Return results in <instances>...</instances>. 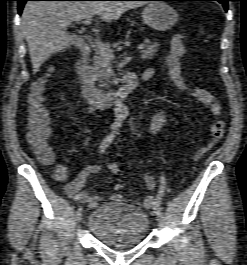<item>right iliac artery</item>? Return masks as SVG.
Returning a JSON list of instances; mask_svg holds the SVG:
<instances>
[{"instance_id": "1", "label": "right iliac artery", "mask_w": 247, "mask_h": 265, "mask_svg": "<svg viewBox=\"0 0 247 265\" xmlns=\"http://www.w3.org/2000/svg\"><path fill=\"white\" fill-rule=\"evenodd\" d=\"M113 139H114V134H110L103 139L100 145V153L105 152V149L109 146V144L112 142ZM96 206H97L96 202H91L88 204V207L90 209L95 208Z\"/></svg>"}]
</instances>
